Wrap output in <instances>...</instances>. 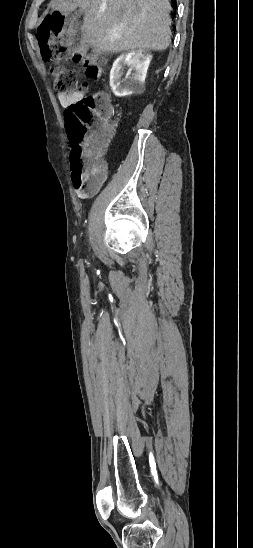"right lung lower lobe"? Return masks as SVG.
<instances>
[{
    "mask_svg": "<svg viewBox=\"0 0 253 548\" xmlns=\"http://www.w3.org/2000/svg\"><path fill=\"white\" fill-rule=\"evenodd\" d=\"M171 1L176 6V0H171Z\"/></svg>",
    "mask_w": 253,
    "mask_h": 548,
    "instance_id": "1",
    "label": "right lung lower lobe"
}]
</instances>
